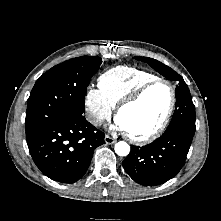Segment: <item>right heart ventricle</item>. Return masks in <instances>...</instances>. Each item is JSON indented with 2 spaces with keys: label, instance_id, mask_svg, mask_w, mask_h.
Wrapping results in <instances>:
<instances>
[{
  "label": "right heart ventricle",
  "instance_id": "right-heart-ventricle-1",
  "mask_svg": "<svg viewBox=\"0 0 221 221\" xmlns=\"http://www.w3.org/2000/svg\"><path fill=\"white\" fill-rule=\"evenodd\" d=\"M155 78L156 75L135 67L117 66L100 75L98 87L106 102L114 108L138 87Z\"/></svg>",
  "mask_w": 221,
  "mask_h": 221
}]
</instances>
